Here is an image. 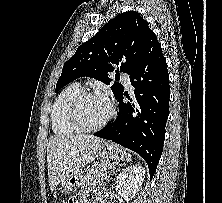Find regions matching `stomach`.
<instances>
[{
  "label": "stomach",
  "instance_id": "stomach-1",
  "mask_svg": "<svg viewBox=\"0 0 222 203\" xmlns=\"http://www.w3.org/2000/svg\"><path fill=\"white\" fill-rule=\"evenodd\" d=\"M126 156V150L115 143H102L96 151V157L104 160H122ZM85 170L79 168L62 181V187L67 193L76 191L84 184Z\"/></svg>",
  "mask_w": 222,
  "mask_h": 203
}]
</instances>
